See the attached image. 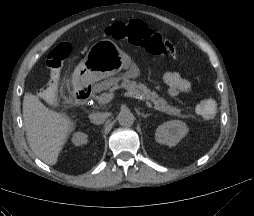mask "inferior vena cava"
Returning <instances> with one entry per match:
<instances>
[{
  "mask_svg": "<svg viewBox=\"0 0 254 216\" xmlns=\"http://www.w3.org/2000/svg\"><path fill=\"white\" fill-rule=\"evenodd\" d=\"M108 116V113L105 112H93L90 114L89 119L93 124L100 125L106 121Z\"/></svg>",
  "mask_w": 254,
  "mask_h": 216,
  "instance_id": "1",
  "label": "inferior vena cava"
}]
</instances>
